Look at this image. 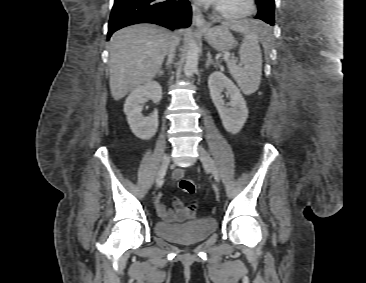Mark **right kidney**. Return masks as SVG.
<instances>
[{"mask_svg": "<svg viewBox=\"0 0 366 283\" xmlns=\"http://www.w3.org/2000/svg\"><path fill=\"white\" fill-rule=\"evenodd\" d=\"M162 97V88L157 81H148L142 86L135 88L127 97L124 104V113L128 124L136 137L142 140L152 138L158 128V112L143 116L142 104L147 100L158 102Z\"/></svg>", "mask_w": 366, "mask_h": 283, "instance_id": "obj_1", "label": "right kidney"}]
</instances>
